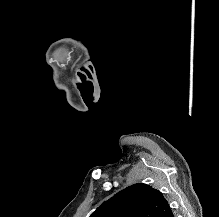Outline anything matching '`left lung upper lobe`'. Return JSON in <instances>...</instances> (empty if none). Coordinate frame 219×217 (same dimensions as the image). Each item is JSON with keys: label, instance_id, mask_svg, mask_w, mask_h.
I'll return each instance as SVG.
<instances>
[{"label": "left lung upper lobe", "instance_id": "1", "mask_svg": "<svg viewBox=\"0 0 219 217\" xmlns=\"http://www.w3.org/2000/svg\"><path fill=\"white\" fill-rule=\"evenodd\" d=\"M90 217H174V215L159 190L137 183L105 201Z\"/></svg>", "mask_w": 219, "mask_h": 217}]
</instances>
